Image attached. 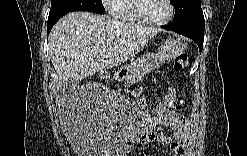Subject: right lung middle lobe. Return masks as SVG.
Returning <instances> with one entry per match:
<instances>
[{"label":"right lung middle lobe","mask_w":247,"mask_h":156,"mask_svg":"<svg viewBox=\"0 0 247 156\" xmlns=\"http://www.w3.org/2000/svg\"><path fill=\"white\" fill-rule=\"evenodd\" d=\"M105 12L101 0H52L49 17L73 12Z\"/></svg>","instance_id":"obj_1"}]
</instances>
